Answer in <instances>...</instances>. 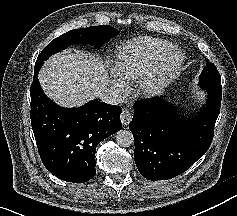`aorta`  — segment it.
I'll use <instances>...</instances> for the list:
<instances>
[{
  "mask_svg": "<svg viewBox=\"0 0 237 216\" xmlns=\"http://www.w3.org/2000/svg\"><path fill=\"white\" fill-rule=\"evenodd\" d=\"M115 137L117 144L122 148H129L135 144L134 135L130 130H120Z\"/></svg>",
  "mask_w": 237,
  "mask_h": 216,
  "instance_id": "obj_1",
  "label": "aorta"
}]
</instances>
